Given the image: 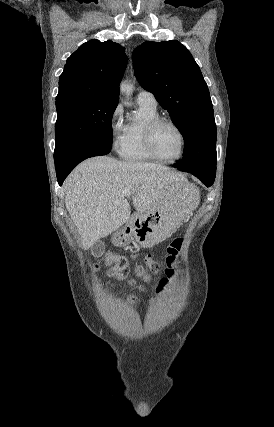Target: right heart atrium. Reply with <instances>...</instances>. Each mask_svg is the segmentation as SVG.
Returning <instances> with one entry per match:
<instances>
[{"label": "right heart atrium", "instance_id": "d8ad5b80", "mask_svg": "<svg viewBox=\"0 0 274 427\" xmlns=\"http://www.w3.org/2000/svg\"><path fill=\"white\" fill-rule=\"evenodd\" d=\"M124 128L125 125L120 120V111L118 108H116L111 112L108 120V133L111 144L114 147L119 146L124 133Z\"/></svg>", "mask_w": 274, "mask_h": 427}]
</instances>
